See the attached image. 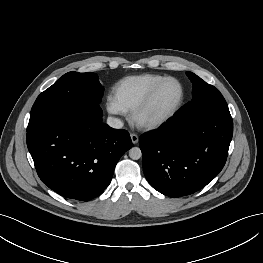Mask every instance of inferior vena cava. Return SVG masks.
Instances as JSON below:
<instances>
[{
    "instance_id": "obj_1",
    "label": "inferior vena cava",
    "mask_w": 263,
    "mask_h": 263,
    "mask_svg": "<svg viewBox=\"0 0 263 263\" xmlns=\"http://www.w3.org/2000/svg\"><path fill=\"white\" fill-rule=\"evenodd\" d=\"M107 124L115 129H120L123 127V122L120 119L114 117H108Z\"/></svg>"
}]
</instances>
